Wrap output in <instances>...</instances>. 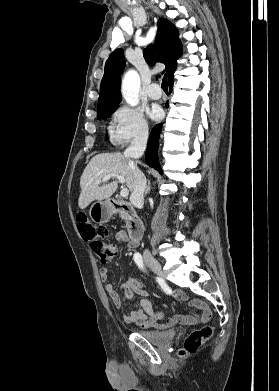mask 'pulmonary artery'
Wrapping results in <instances>:
<instances>
[{
    "label": "pulmonary artery",
    "instance_id": "obj_1",
    "mask_svg": "<svg viewBox=\"0 0 279 391\" xmlns=\"http://www.w3.org/2000/svg\"><path fill=\"white\" fill-rule=\"evenodd\" d=\"M147 95L149 98L157 100L161 98L162 91L159 89L157 83H152L147 89Z\"/></svg>",
    "mask_w": 279,
    "mask_h": 391
}]
</instances>
